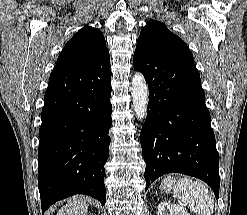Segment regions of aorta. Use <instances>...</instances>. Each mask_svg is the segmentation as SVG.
<instances>
[{"mask_svg":"<svg viewBox=\"0 0 247 215\" xmlns=\"http://www.w3.org/2000/svg\"><path fill=\"white\" fill-rule=\"evenodd\" d=\"M131 94L136 118L143 121L147 116L149 90L144 76L139 72H136L132 78Z\"/></svg>","mask_w":247,"mask_h":215,"instance_id":"aorta-1","label":"aorta"}]
</instances>
